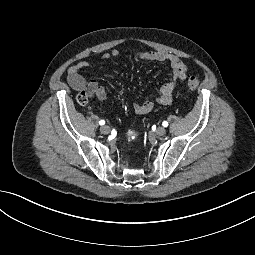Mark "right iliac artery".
<instances>
[{
  "label": "right iliac artery",
  "mask_w": 255,
  "mask_h": 255,
  "mask_svg": "<svg viewBox=\"0 0 255 255\" xmlns=\"http://www.w3.org/2000/svg\"><path fill=\"white\" fill-rule=\"evenodd\" d=\"M99 124H100V125H104V124H105V121H104V120H100V121H99Z\"/></svg>",
  "instance_id": "1"
}]
</instances>
